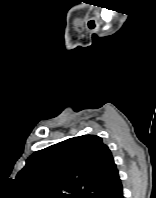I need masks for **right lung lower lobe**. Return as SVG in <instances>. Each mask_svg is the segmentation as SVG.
I'll list each match as a JSON object with an SVG mask.
<instances>
[{"label": "right lung lower lobe", "instance_id": "right-lung-lower-lobe-1", "mask_svg": "<svg viewBox=\"0 0 156 198\" xmlns=\"http://www.w3.org/2000/svg\"><path fill=\"white\" fill-rule=\"evenodd\" d=\"M109 198H124L122 187L118 188Z\"/></svg>", "mask_w": 156, "mask_h": 198}]
</instances>
